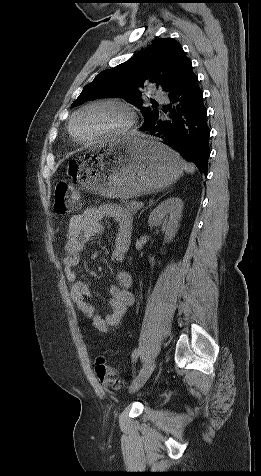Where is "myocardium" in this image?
I'll use <instances>...</instances> for the list:
<instances>
[{"label":"myocardium","instance_id":"1","mask_svg":"<svg viewBox=\"0 0 261 476\" xmlns=\"http://www.w3.org/2000/svg\"><path fill=\"white\" fill-rule=\"evenodd\" d=\"M103 105H107V106H113V107H116L118 109H120L124 114H125V122L119 126L118 128L114 129V130H111V131H108V132H105L93 139H90V140H80L76 137L75 133H74V123H75V120L76 118L84 111L88 110V109H91L93 107H97V106H103ZM136 120H137V114H136V111L135 109L130 105L128 104L127 102H124V101H121V100H118V99H111V98H104V99H97V100H93V101H90L84 105H82L81 107H79L71 116L70 118V121L68 123V131H69V134L72 138V140L80 145H92V144H95V143H98V142H101L103 140H106V139H109V138H114V137H119V136H122V135H125L126 133H128L133 127L134 125L136 124Z\"/></svg>","mask_w":261,"mask_h":476}]
</instances>
